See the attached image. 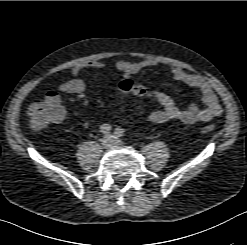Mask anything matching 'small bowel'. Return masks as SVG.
<instances>
[{
  "mask_svg": "<svg viewBox=\"0 0 247 245\" xmlns=\"http://www.w3.org/2000/svg\"><path fill=\"white\" fill-rule=\"evenodd\" d=\"M156 64L153 59H144L138 62L121 60L115 63V69L123 78H129L141 70ZM105 66L106 64L101 60H92L75 65L71 70L74 77L61 83L58 90L49 91L44 99L47 102H55L61 105L60 93L72 94L82 100L84 104H87L86 84L79 78V74L85 68L103 69ZM170 74L176 82L197 89L200 93V99L187 108H180L168 94L150 90V96L147 98L155 100L160 106L148 114V119L151 122L162 124L170 120H177L184 124H193L196 122H208L222 114V106L218 96L207 80L201 76L190 74L179 66H172Z\"/></svg>",
  "mask_w": 247,
  "mask_h": 245,
  "instance_id": "small-bowel-1",
  "label": "small bowel"
}]
</instances>
